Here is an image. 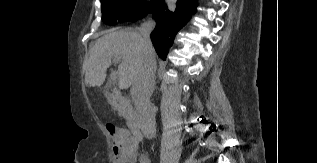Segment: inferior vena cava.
Here are the masks:
<instances>
[{
    "mask_svg": "<svg viewBox=\"0 0 317 163\" xmlns=\"http://www.w3.org/2000/svg\"><path fill=\"white\" fill-rule=\"evenodd\" d=\"M154 27L155 22L148 20L139 28L142 37V63L131 90L139 126L143 135L148 139H152L156 135L155 112L150 102L156 71L154 48L150 39Z\"/></svg>",
    "mask_w": 317,
    "mask_h": 163,
    "instance_id": "602c4592",
    "label": "inferior vena cava"
}]
</instances>
